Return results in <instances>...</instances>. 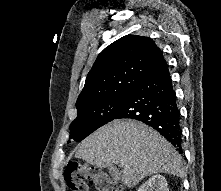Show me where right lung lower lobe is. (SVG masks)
<instances>
[{
	"mask_svg": "<svg viewBox=\"0 0 221 191\" xmlns=\"http://www.w3.org/2000/svg\"><path fill=\"white\" fill-rule=\"evenodd\" d=\"M120 118L146 123L183 153L180 111L166 62L129 92L114 119Z\"/></svg>",
	"mask_w": 221,
	"mask_h": 191,
	"instance_id": "right-lung-lower-lobe-1",
	"label": "right lung lower lobe"
}]
</instances>
